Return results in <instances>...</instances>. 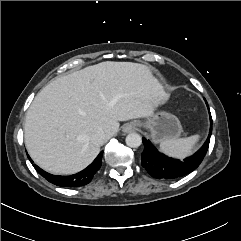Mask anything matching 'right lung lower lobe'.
Here are the masks:
<instances>
[{"mask_svg": "<svg viewBox=\"0 0 241 241\" xmlns=\"http://www.w3.org/2000/svg\"><path fill=\"white\" fill-rule=\"evenodd\" d=\"M102 154L103 151L100 152V154L96 157V159L83 171L71 175V176H56L51 175L45 171H43L41 168H39L37 165H33L34 168L37 170V172L42 175L44 178H46L49 182L62 187H78V186H84L92 180L93 176L96 174V172L101 167L102 163ZM31 163L33 161L28 156Z\"/></svg>", "mask_w": 241, "mask_h": 241, "instance_id": "98d812e1", "label": "right lung lower lobe"}]
</instances>
